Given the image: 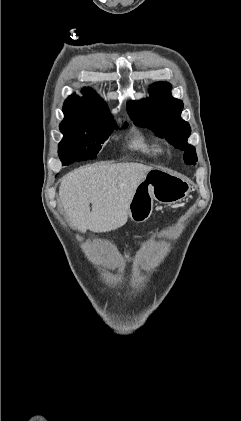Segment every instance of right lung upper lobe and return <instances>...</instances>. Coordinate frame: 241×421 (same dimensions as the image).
I'll use <instances>...</instances> for the list:
<instances>
[{
	"instance_id": "right-lung-upper-lobe-1",
	"label": "right lung upper lobe",
	"mask_w": 241,
	"mask_h": 421,
	"mask_svg": "<svg viewBox=\"0 0 241 421\" xmlns=\"http://www.w3.org/2000/svg\"><path fill=\"white\" fill-rule=\"evenodd\" d=\"M83 94V97L73 94L65 101L63 122L88 124L99 119L112 118L106 103L93 90L86 88Z\"/></svg>"
}]
</instances>
